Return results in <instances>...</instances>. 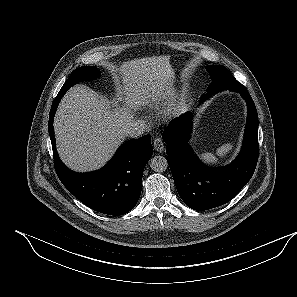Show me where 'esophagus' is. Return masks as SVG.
Returning <instances> with one entry per match:
<instances>
[{"label":"esophagus","instance_id":"esophagus-1","mask_svg":"<svg viewBox=\"0 0 297 297\" xmlns=\"http://www.w3.org/2000/svg\"><path fill=\"white\" fill-rule=\"evenodd\" d=\"M153 144V148L157 151V152H163L164 151V143L162 141L161 138H155L152 142Z\"/></svg>","mask_w":297,"mask_h":297}]
</instances>
